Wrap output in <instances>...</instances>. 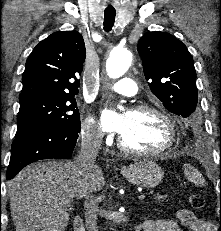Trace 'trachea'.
I'll return each instance as SVG.
<instances>
[{"instance_id": "3493384b", "label": "trachea", "mask_w": 221, "mask_h": 231, "mask_svg": "<svg viewBox=\"0 0 221 231\" xmlns=\"http://www.w3.org/2000/svg\"><path fill=\"white\" fill-rule=\"evenodd\" d=\"M115 16H116V11H112V10H105L104 11V30L106 32H109L113 25H114V21H115Z\"/></svg>"}]
</instances>
